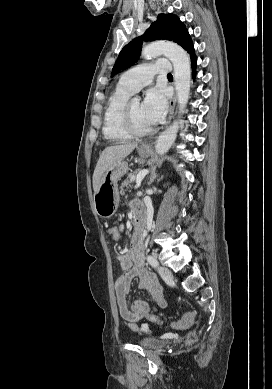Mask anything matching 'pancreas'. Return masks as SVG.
Listing matches in <instances>:
<instances>
[{
  "label": "pancreas",
  "mask_w": 272,
  "mask_h": 389,
  "mask_svg": "<svg viewBox=\"0 0 272 389\" xmlns=\"http://www.w3.org/2000/svg\"><path fill=\"white\" fill-rule=\"evenodd\" d=\"M135 179H136V175L134 173L128 174L127 178L125 179V181L121 185V190H123L124 187H127L128 185L134 183Z\"/></svg>",
  "instance_id": "obj_1"
}]
</instances>
